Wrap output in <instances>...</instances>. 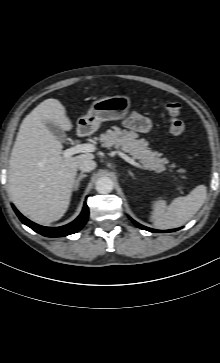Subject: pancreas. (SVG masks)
<instances>
[{"instance_id": "1", "label": "pancreas", "mask_w": 220, "mask_h": 363, "mask_svg": "<svg viewBox=\"0 0 220 363\" xmlns=\"http://www.w3.org/2000/svg\"><path fill=\"white\" fill-rule=\"evenodd\" d=\"M138 134L132 131L121 130L116 127L114 130H107L106 133L100 135V141L103 147L114 146L126 153H129L133 159L138 160L145 167L157 172L166 169L165 164L168 160L160 158V153L152 151L148 147V142L144 139H137ZM171 168L176 167L175 164L170 165ZM178 172H182L178 170Z\"/></svg>"}]
</instances>
